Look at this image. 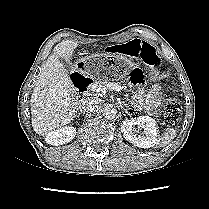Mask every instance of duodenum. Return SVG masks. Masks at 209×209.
Segmentation results:
<instances>
[{"mask_svg":"<svg viewBox=\"0 0 209 209\" xmlns=\"http://www.w3.org/2000/svg\"><path fill=\"white\" fill-rule=\"evenodd\" d=\"M71 82L75 88V91L80 94L86 93L92 85L91 80L80 74L72 75Z\"/></svg>","mask_w":209,"mask_h":209,"instance_id":"410a0bca","label":"duodenum"}]
</instances>
